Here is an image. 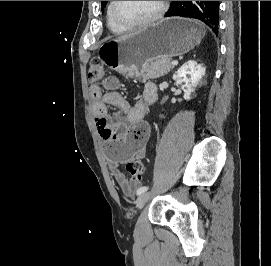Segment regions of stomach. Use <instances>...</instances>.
Here are the masks:
<instances>
[{"mask_svg":"<svg viewBox=\"0 0 271 266\" xmlns=\"http://www.w3.org/2000/svg\"><path fill=\"white\" fill-rule=\"evenodd\" d=\"M204 34L203 26L195 20L167 18L128 38L102 44L99 58L124 76L142 77L145 62L183 55L198 45Z\"/></svg>","mask_w":271,"mask_h":266,"instance_id":"1","label":"stomach"}]
</instances>
